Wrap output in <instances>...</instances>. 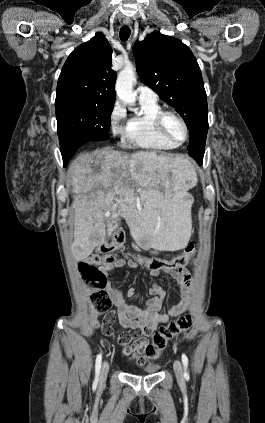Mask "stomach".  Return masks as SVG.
I'll list each match as a JSON object with an SVG mask.
<instances>
[{
    "instance_id": "stomach-1",
    "label": "stomach",
    "mask_w": 265,
    "mask_h": 423,
    "mask_svg": "<svg viewBox=\"0 0 265 423\" xmlns=\"http://www.w3.org/2000/svg\"><path fill=\"white\" fill-rule=\"evenodd\" d=\"M151 253H152V254H157V252H155V251H151Z\"/></svg>"
}]
</instances>
